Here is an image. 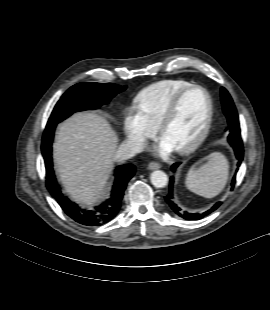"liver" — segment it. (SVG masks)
I'll return each mask as SVG.
<instances>
[{
  "label": "liver",
  "mask_w": 270,
  "mask_h": 310,
  "mask_svg": "<svg viewBox=\"0 0 270 310\" xmlns=\"http://www.w3.org/2000/svg\"><path fill=\"white\" fill-rule=\"evenodd\" d=\"M117 144L115 131L95 112L76 113L59 124L53 158L59 180L72 200L90 204L102 197Z\"/></svg>",
  "instance_id": "liver-1"
}]
</instances>
